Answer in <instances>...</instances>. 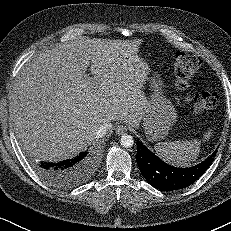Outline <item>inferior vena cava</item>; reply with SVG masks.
Masks as SVG:
<instances>
[{
	"label": "inferior vena cava",
	"mask_w": 231,
	"mask_h": 231,
	"mask_svg": "<svg viewBox=\"0 0 231 231\" xmlns=\"http://www.w3.org/2000/svg\"><path fill=\"white\" fill-rule=\"evenodd\" d=\"M111 127H112L111 123L102 124L97 131V137L99 138L104 136Z\"/></svg>",
	"instance_id": "1"
}]
</instances>
